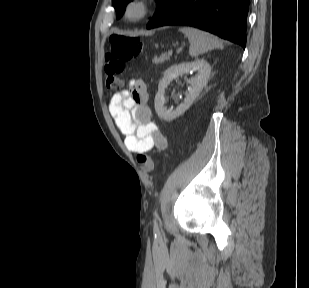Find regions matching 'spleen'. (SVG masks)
<instances>
[{"mask_svg": "<svg viewBox=\"0 0 309 288\" xmlns=\"http://www.w3.org/2000/svg\"><path fill=\"white\" fill-rule=\"evenodd\" d=\"M180 31L188 37L191 43L189 48L191 57H197L214 48H222V42L208 32L192 27H183L180 28Z\"/></svg>", "mask_w": 309, "mask_h": 288, "instance_id": "3e777b00", "label": "spleen"}]
</instances>
